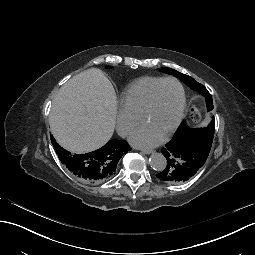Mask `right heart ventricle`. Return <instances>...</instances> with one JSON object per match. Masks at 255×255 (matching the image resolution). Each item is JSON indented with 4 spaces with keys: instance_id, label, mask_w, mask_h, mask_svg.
I'll use <instances>...</instances> for the list:
<instances>
[{
    "instance_id": "1",
    "label": "right heart ventricle",
    "mask_w": 255,
    "mask_h": 255,
    "mask_svg": "<svg viewBox=\"0 0 255 255\" xmlns=\"http://www.w3.org/2000/svg\"><path fill=\"white\" fill-rule=\"evenodd\" d=\"M162 79L160 77H143L138 79L119 95V105L140 117L151 89Z\"/></svg>"
}]
</instances>
